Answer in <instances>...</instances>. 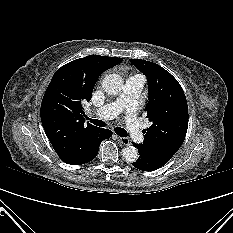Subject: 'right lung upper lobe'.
Wrapping results in <instances>:
<instances>
[{"label":"right lung upper lobe","instance_id":"cb5924a9","mask_svg":"<svg viewBox=\"0 0 233 233\" xmlns=\"http://www.w3.org/2000/svg\"><path fill=\"white\" fill-rule=\"evenodd\" d=\"M123 58L89 55L59 68L47 87L41 104V121L59 158H74L81 152L98 127L84 125L83 104L102 72L119 64Z\"/></svg>","mask_w":233,"mask_h":233}]
</instances>
